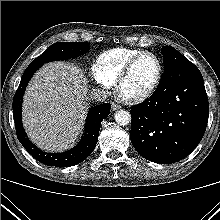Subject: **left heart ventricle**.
I'll return each mask as SVG.
<instances>
[{"label": "left heart ventricle", "mask_w": 220, "mask_h": 220, "mask_svg": "<svg viewBox=\"0 0 220 220\" xmlns=\"http://www.w3.org/2000/svg\"><path fill=\"white\" fill-rule=\"evenodd\" d=\"M156 73V60L151 56L141 57L123 82L121 86L122 95L131 97L145 92L152 85Z\"/></svg>", "instance_id": "1"}]
</instances>
